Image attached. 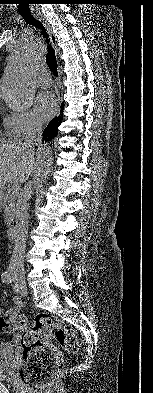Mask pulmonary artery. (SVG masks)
<instances>
[{"label":"pulmonary artery","instance_id":"e3ab8cb5","mask_svg":"<svg viewBox=\"0 0 153 393\" xmlns=\"http://www.w3.org/2000/svg\"><path fill=\"white\" fill-rule=\"evenodd\" d=\"M38 83L41 87L47 88L51 85L52 79L48 73H41L38 75Z\"/></svg>","mask_w":153,"mask_h":393}]
</instances>
